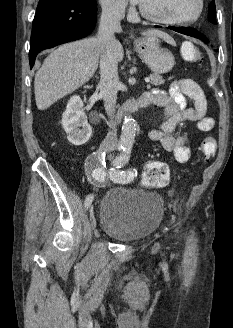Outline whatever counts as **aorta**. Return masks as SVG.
Wrapping results in <instances>:
<instances>
[{
    "label": "aorta",
    "mask_w": 233,
    "mask_h": 328,
    "mask_svg": "<svg viewBox=\"0 0 233 328\" xmlns=\"http://www.w3.org/2000/svg\"><path fill=\"white\" fill-rule=\"evenodd\" d=\"M136 134L135 120L130 114L124 116L122 124V132L120 137L121 148L127 150L130 149L134 143Z\"/></svg>",
    "instance_id": "obj_1"
}]
</instances>
